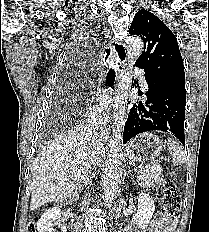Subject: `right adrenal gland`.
Instances as JSON below:
<instances>
[{"label": "right adrenal gland", "instance_id": "obj_1", "mask_svg": "<svg viewBox=\"0 0 209 232\" xmlns=\"http://www.w3.org/2000/svg\"><path fill=\"white\" fill-rule=\"evenodd\" d=\"M92 176L86 178V180H85L83 186L81 187L80 191H82L84 187L89 188L91 186V184H92Z\"/></svg>", "mask_w": 209, "mask_h": 232}]
</instances>
